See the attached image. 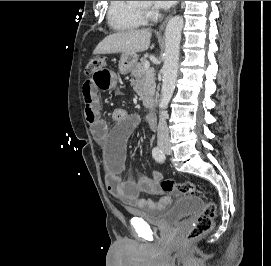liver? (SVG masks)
I'll return each instance as SVG.
<instances>
[{"label":"liver","mask_w":271,"mask_h":266,"mask_svg":"<svg viewBox=\"0 0 271 266\" xmlns=\"http://www.w3.org/2000/svg\"><path fill=\"white\" fill-rule=\"evenodd\" d=\"M151 31L137 29L117 32L105 37L95 48L94 54L136 53L150 46ZM154 48V45L150 47Z\"/></svg>","instance_id":"6515ba94"}]
</instances>
